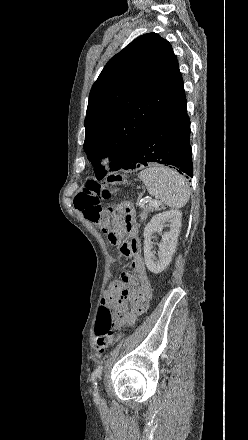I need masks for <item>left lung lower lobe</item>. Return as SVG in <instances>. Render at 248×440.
<instances>
[{"mask_svg":"<svg viewBox=\"0 0 248 440\" xmlns=\"http://www.w3.org/2000/svg\"><path fill=\"white\" fill-rule=\"evenodd\" d=\"M190 120L185 95L134 142L118 169H135L149 162L172 165L193 176Z\"/></svg>","mask_w":248,"mask_h":440,"instance_id":"0a47b994","label":"left lung lower lobe"}]
</instances>
